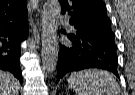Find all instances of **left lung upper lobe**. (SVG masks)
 Here are the masks:
<instances>
[{"label":"left lung upper lobe","mask_w":135,"mask_h":95,"mask_svg":"<svg viewBox=\"0 0 135 95\" xmlns=\"http://www.w3.org/2000/svg\"><path fill=\"white\" fill-rule=\"evenodd\" d=\"M62 13H68L70 25L80 34H105L114 36L103 0H59ZM74 35V34H73Z\"/></svg>","instance_id":"obj_1"}]
</instances>
